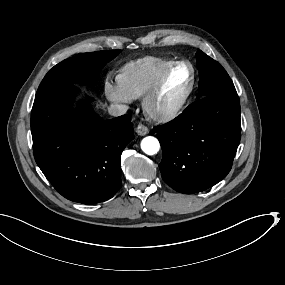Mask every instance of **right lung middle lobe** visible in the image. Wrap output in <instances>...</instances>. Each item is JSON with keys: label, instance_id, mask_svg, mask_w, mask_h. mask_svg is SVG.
Segmentation results:
<instances>
[{"label": "right lung middle lobe", "instance_id": "1", "mask_svg": "<svg viewBox=\"0 0 285 285\" xmlns=\"http://www.w3.org/2000/svg\"><path fill=\"white\" fill-rule=\"evenodd\" d=\"M119 53L120 50L81 53L63 60L45 75L35 98L67 84L94 81L106 63L114 59Z\"/></svg>", "mask_w": 285, "mask_h": 285}]
</instances>
